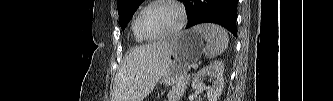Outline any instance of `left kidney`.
I'll return each mask as SVG.
<instances>
[{
    "label": "left kidney",
    "mask_w": 333,
    "mask_h": 101,
    "mask_svg": "<svg viewBox=\"0 0 333 101\" xmlns=\"http://www.w3.org/2000/svg\"><path fill=\"white\" fill-rule=\"evenodd\" d=\"M224 63L216 60L210 65L200 69L192 80V88L199 91H206L208 101H217L222 94L224 86ZM209 78L212 82L210 87H207L203 81Z\"/></svg>",
    "instance_id": "5707ae66"
}]
</instances>
